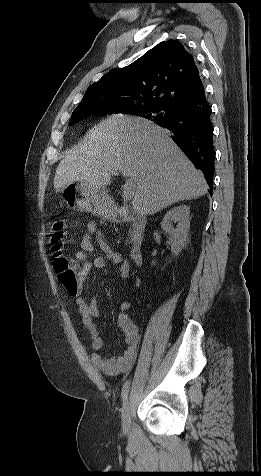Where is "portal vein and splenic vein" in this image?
Instances as JSON below:
<instances>
[{
    "label": "portal vein and splenic vein",
    "mask_w": 261,
    "mask_h": 476,
    "mask_svg": "<svg viewBox=\"0 0 261 476\" xmlns=\"http://www.w3.org/2000/svg\"><path fill=\"white\" fill-rule=\"evenodd\" d=\"M113 175L118 176V172H111ZM134 196L133 184L130 180H127L123 185L122 198L124 201L130 200Z\"/></svg>",
    "instance_id": "portal-vein-and-splenic-vein-1"
}]
</instances>
